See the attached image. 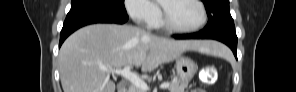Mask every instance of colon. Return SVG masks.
<instances>
[{
    "instance_id": "colon-1",
    "label": "colon",
    "mask_w": 296,
    "mask_h": 92,
    "mask_svg": "<svg viewBox=\"0 0 296 92\" xmlns=\"http://www.w3.org/2000/svg\"><path fill=\"white\" fill-rule=\"evenodd\" d=\"M216 76V69L214 66H207L201 72V79L205 83H212ZM194 92H204V90H195Z\"/></svg>"
}]
</instances>
